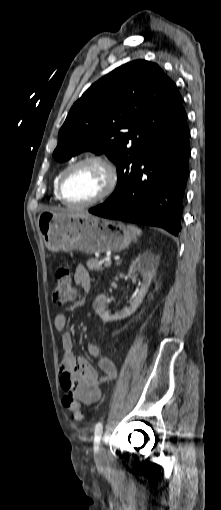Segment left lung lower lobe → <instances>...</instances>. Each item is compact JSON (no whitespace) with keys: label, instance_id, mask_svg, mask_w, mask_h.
<instances>
[{"label":"left lung lower lobe","instance_id":"1","mask_svg":"<svg viewBox=\"0 0 221 510\" xmlns=\"http://www.w3.org/2000/svg\"><path fill=\"white\" fill-rule=\"evenodd\" d=\"M189 137L187 125L156 141L145 153L129 185L89 212L104 218L161 227L178 236L189 175Z\"/></svg>","mask_w":221,"mask_h":510}]
</instances>
